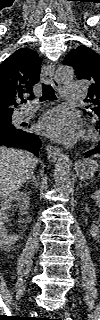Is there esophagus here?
Instances as JSON below:
<instances>
[{"instance_id":"1","label":"esophagus","mask_w":100,"mask_h":320,"mask_svg":"<svg viewBox=\"0 0 100 320\" xmlns=\"http://www.w3.org/2000/svg\"><path fill=\"white\" fill-rule=\"evenodd\" d=\"M55 66L54 65H46L41 74V78L46 83H51L52 86L56 89H59L60 84L56 80L54 76ZM47 157L51 162H56L57 159L61 156V149L50 144L46 145Z\"/></svg>"}]
</instances>
